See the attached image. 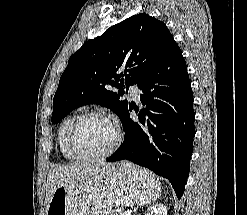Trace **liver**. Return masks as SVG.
<instances>
[{"label": "liver", "mask_w": 247, "mask_h": 215, "mask_svg": "<svg viewBox=\"0 0 247 215\" xmlns=\"http://www.w3.org/2000/svg\"><path fill=\"white\" fill-rule=\"evenodd\" d=\"M112 165L106 162H91L53 166L47 175L46 210L58 187L66 184L71 188L82 189Z\"/></svg>", "instance_id": "liver-1"}]
</instances>
